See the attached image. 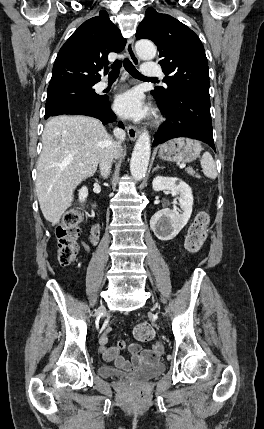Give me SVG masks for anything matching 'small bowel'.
<instances>
[{
    "label": "small bowel",
    "instance_id": "1",
    "mask_svg": "<svg viewBox=\"0 0 264 429\" xmlns=\"http://www.w3.org/2000/svg\"><path fill=\"white\" fill-rule=\"evenodd\" d=\"M100 236V228L94 225L89 233V241L95 245L98 243ZM84 249L89 252L90 246L83 242ZM111 330L108 328L100 337V351L104 359L107 361H114L115 365L123 370H130L132 368H139L143 364H152L158 360L163 352V347L160 343L153 344L150 348L144 349L140 345L132 343L127 345L125 342L120 341L115 346L108 347V335ZM127 349L131 354V361H128L121 355V350Z\"/></svg>",
    "mask_w": 264,
    "mask_h": 429
}]
</instances>
